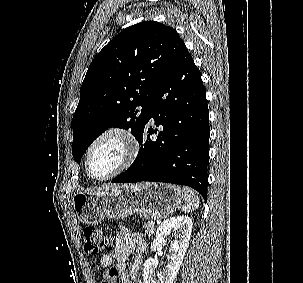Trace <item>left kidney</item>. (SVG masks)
Wrapping results in <instances>:
<instances>
[{
  "mask_svg": "<svg viewBox=\"0 0 303 283\" xmlns=\"http://www.w3.org/2000/svg\"><path fill=\"white\" fill-rule=\"evenodd\" d=\"M174 231L176 239L169 248L170 255L163 271L155 274L158 266L157 258H148L144 263V283H173L186 254L192 232V219L188 216H178L165 220L157 229L155 238L151 243L153 252L161 251L166 236Z\"/></svg>",
  "mask_w": 303,
  "mask_h": 283,
  "instance_id": "1",
  "label": "left kidney"
}]
</instances>
